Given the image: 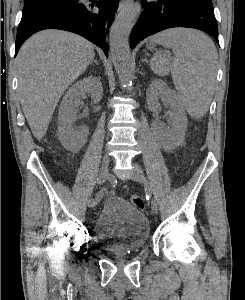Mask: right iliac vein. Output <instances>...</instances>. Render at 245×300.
<instances>
[{
	"mask_svg": "<svg viewBox=\"0 0 245 300\" xmlns=\"http://www.w3.org/2000/svg\"><path fill=\"white\" fill-rule=\"evenodd\" d=\"M109 163H110V158L107 154H105L103 157H102V175L103 177H107V174H108V168H109ZM94 206H96L94 204V200L93 199H90L88 201V207L90 208H93Z\"/></svg>",
	"mask_w": 245,
	"mask_h": 300,
	"instance_id": "right-iliac-vein-1",
	"label": "right iliac vein"
}]
</instances>
